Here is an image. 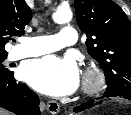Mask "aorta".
<instances>
[{
  "mask_svg": "<svg viewBox=\"0 0 131 115\" xmlns=\"http://www.w3.org/2000/svg\"><path fill=\"white\" fill-rule=\"evenodd\" d=\"M72 18V12L68 8H59L54 14H53V20L56 23H66L70 21Z\"/></svg>",
  "mask_w": 131,
  "mask_h": 115,
  "instance_id": "762f6f07",
  "label": "aorta"
}]
</instances>
